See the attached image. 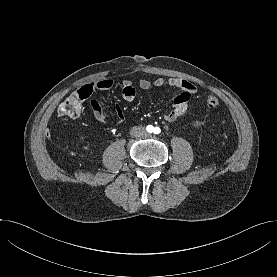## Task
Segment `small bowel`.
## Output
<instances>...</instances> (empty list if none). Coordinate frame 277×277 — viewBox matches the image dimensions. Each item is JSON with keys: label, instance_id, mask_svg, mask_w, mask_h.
I'll list each match as a JSON object with an SVG mask.
<instances>
[{"label": "small bowel", "instance_id": "1", "mask_svg": "<svg viewBox=\"0 0 277 277\" xmlns=\"http://www.w3.org/2000/svg\"><path fill=\"white\" fill-rule=\"evenodd\" d=\"M114 82L112 79L105 78L96 82H92L80 88L89 93V97L95 91H106L112 88ZM138 85L143 90L159 89L164 86L178 88L181 93L178 94L172 102L171 108L164 113V118L167 121H175L185 114L188 108L189 101L197 92V86L187 80L180 78H156L154 80L140 79ZM122 97L125 101L131 102L136 97V88L130 80L122 82ZM91 107L95 118L101 123L120 122L123 119V113L118 105H115V117L109 118L102 108L101 103L97 99L91 101Z\"/></svg>", "mask_w": 277, "mask_h": 277}]
</instances>
